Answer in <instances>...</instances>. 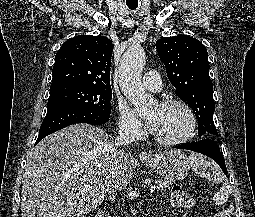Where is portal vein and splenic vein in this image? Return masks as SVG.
Here are the masks:
<instances>
[{"label":"portal vein and splenic vein","mask_w":255,"mask_h":217,"mask_svg":"<svg viewBox=\"0 0 255 217\" xmlns=\"http://www.w3.org/2000/svg\"><path fill=\"white\" fill-rule=\"evenodd\" d=\"M155 191V186H151L150 192L153 193Z\"/></svg>","instance_id":"1"}]
</instances>
